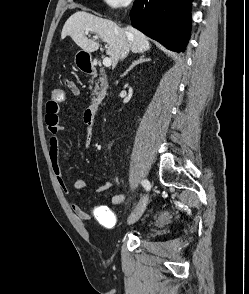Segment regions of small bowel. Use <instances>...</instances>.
<instances>
[{
	"instance_id": "obj_1",
	"label": "small bowel",
	"mask_w": 249,
	"mask_h": 294,
	"mask_svg": "<svg viewBox=\"0 0 249 294\" xmlns=\"http://www.w3.org/2000/svg\"><path fill=\"white\" fill-rule=\"evenodd\" d=\"M64 83L72 95L78 96L80 94L79 87L73 80L64 79ZM83 122L85 125V145L87 149H90L92 145L94 121L88 117L86 110L83 113ZM45 123L47 130L51 135L48 143V156L52 171L54 173L59 188L65 194H69L70 186L64 178L60 166V133L62 132L63 127L60 124L59 105L54 106L49 102L47 103ZM111 186V182H103L96 188L95 192L103 193L109 190ZM73 187L78 191H85L89 188L87 183L81 178H76L73 181ZM125 201L126 194L117 193L106 202L94 204L88 209H85L76 203H71L70 206L73 213L78 219L83 221L95 219L101 226L111 229L116 225L117 217L116 214L110 209V207L120 206L124 204Z\"/></svg>"
}]
</instances>
